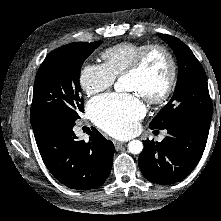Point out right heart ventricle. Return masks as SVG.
Listing matches in <instances>:
<instances>
[{
	"mask_svg": "<svg viewBox=\"0 0 221 221\" xmlns=\"http://www.w3.org/2000/svg\"><path fill=\"white\" fill-rule=\"evenodd\" d=\"M145 43L121 42L101 53L105 68L114 76L122 77L124 72L133 63L138 53L146 46Z\"/></svg>",
	"mask_w": 221,
	"mask_h": 221,
	"instance_id": "right-heart-ventricle-1",
	"label": "right heart ventricle"
}]
</instances>
